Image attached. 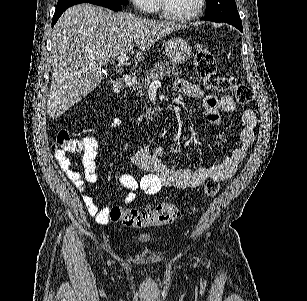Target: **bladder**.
I'll list each match as a JSON object with an SVG mask.
<instances>
[{"mask_svg": "<svg viewBox=\"0 0 307 301\" xmlns=\"http://www.w3.org/2000/svg\"><path fill=\"white\" fill-rule=\"evenodd\" d=\"M143 240H150L151 239V236H144L143 238H142Z\"/></svg>", "mask_w": 307, "mask_h": 301, "instance_id": "1", "label": "bladder"}]
</instances>
